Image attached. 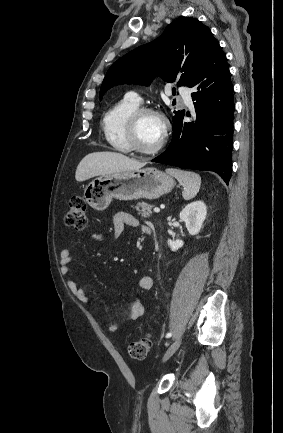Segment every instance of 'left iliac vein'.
<instances>
[{
    "label": "left iliac vein",
    "mask_w": 283,
    "mask_h": 433,
    "mask_svg": "<svg viewBox=\"0 0 283 433\" xmlns=\"http://www.w3.org/2000/svg\"><path fill=\"white\" fill-rule=\"evenodd\" d=\"M181 345V339H178L176 341H174L169 348L167 349V351L165 352L162 362L167 361L176 351L177 349L180 347Z\"/></svg>",
    "instance_id": "1"
}]
</instances>
